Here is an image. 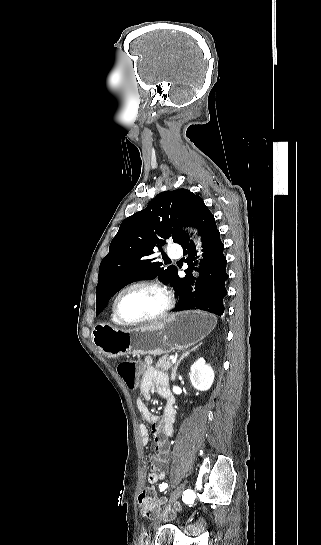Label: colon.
Segmentation results:
<instances>
[{
	"label": "colon",
	"instance_id": "5ec220e1",
	"mask_svg": "<svg viewBox=\"0 0 321 545\" xmlns=\"http://www.w3.org/2000/svg\"><path fill=\"white\" fill-rule=\"evenodd\" d=\"M117 371L126 386L134 389L137 386V363L132 360H124L118 364ZM139 506L142 513L150 518H156L163 513V502L157 496L154 488H145L138 497ZM167 518L173 516L172 511L165 513Z\"/></svg>",
	"mask_w": 321,
	"mask_h": 545
}]
</instances>
